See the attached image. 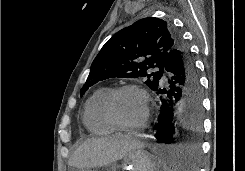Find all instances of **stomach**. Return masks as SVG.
<instances>
[{
    "label": "stomach",
    "mask_w": 245,
    "mask_h": 171,
    "mask_svg": "<svg viewBox=\"0 0 245 171\" xmlns=\"http://www.w3.org/2000/svg\"><path fill=\"white\" fill-rule=\"evenodd\" d=\"M158 163L154 156L150 155L144 147L131 150L124 157L121 166L123 171H158ZM69 171H91L87 168H71Z\"/></svg>",
    "instance_id": "stomach-1"
}]
</instances>
